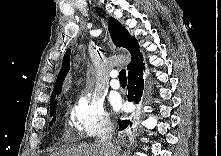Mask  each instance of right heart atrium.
<instances>
[{
	"label": "right heart atrium",
	"instance_id": "d8ad5b80",
	"mask_svg": "<svg viewBox=\"0 0 221 156\" xmlns=\"http://www.w3.org/2000/svg\"><path fill=\"white\" fill-rule=\"evenodd\" d=\"M73 133L90 139L108 133L112 128L111 119L98 97L90 92L81 93L70 108Z\"/></svg>",
	"mask_w": 221,
	"mask_h": 156
}]
</instances>
